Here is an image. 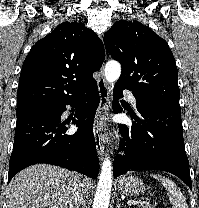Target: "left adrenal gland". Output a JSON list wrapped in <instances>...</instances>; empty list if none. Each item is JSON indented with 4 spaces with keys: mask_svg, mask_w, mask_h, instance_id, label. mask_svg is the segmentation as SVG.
<instances>
[{
    "mask_svg": "<svg viewBox=\"0 0 199 208\" xmlns=\"http://www.w3.org/2000/svg\"><path fill=\"white\" fill-rule=\"evenodd\" d=\"M121 205H122V204H121V200L118 199V200H117V208H120Z\"/></svg>",
    "mask_w": 199,
    "mask_h": 208,
    "instance_id": "obj_1",
    "label": "left adrenal gland"
}]
</instances>
